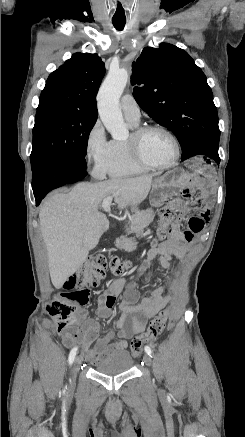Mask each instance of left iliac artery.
Segmentation results:
<instances>
[{
  "label": "left iliac artery",
  "instance_id": "1",
  "mask_svg": "<svg viewBox=\"0 0 245 437\" xmlns=\"http://www.w3.org/2000/svg\"><path fill=\"white\" fill-rule=\"evenodd\" d=\"M145 352L150 356H152V354H153V351L149 346H145Z\"/></svg>",
  "mask_w": 245,
  "mask_h": 437
}]
</instances>
